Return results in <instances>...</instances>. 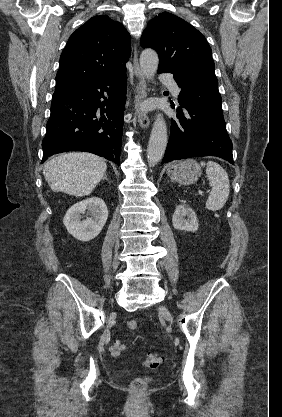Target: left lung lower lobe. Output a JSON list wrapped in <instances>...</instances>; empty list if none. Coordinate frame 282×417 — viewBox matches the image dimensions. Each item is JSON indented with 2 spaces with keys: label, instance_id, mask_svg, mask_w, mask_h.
Listing matches in <instances>:
<instances>
[{
  "label": "left lung lower lobe",
  "instance_id": "left-lung-lower-lobe-1",
  "mask_svg": "<svg viewBox=\"0 0 282 417\" xmlns=\"http://www.w3.org/2000/svg\"><path fill=\"white\" fill-rule=\"evenodd\" d=\"M174 79L181 88L180 107L177 119H171L170 139L162 164L199 156H217L234 164L217 78L190 74Z\"/></svg>",
  "mask_w": 282,
  "mask_h": 417
}]
</instances>
